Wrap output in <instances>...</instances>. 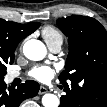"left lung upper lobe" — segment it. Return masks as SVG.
Listing matches in <instances>:
<instances>
[{
  "label": "left lung upper lobe",
  "mask_w": 107,
  "mask_h": 107,
  "mask_svg": "<svg viewBox=\"0 0 107 107\" xmlns=\"http://www.w3.org/2000/svg\"><path fill=\"white\" fill-rule=\"evenodd\" d=\"M57 24L69 37V55L59 80L78 101L81 87L107 85V32L94 18L80 15L60 18Z\"/></svg>",
  "instance_id": "obj_1"
}]
</instances>
